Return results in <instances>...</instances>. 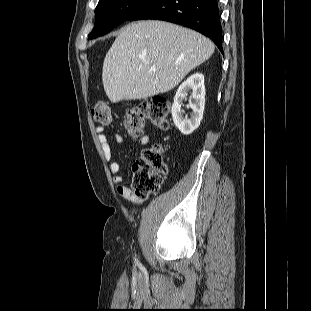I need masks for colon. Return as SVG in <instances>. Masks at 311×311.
I'll list each match as a JSON object with an SVG mask.
<instances>
[{
	"instance_id": "obj_1",
	"label": "colon",
	"mask_w": 311,
	"mask_h": 311,
	"mask_svg": "<svg viewBox=\"0 0 311 311\" xmlns=\"http://www.w3.org/2000/svg\"><path fill=\"white\" fill-rule=\"evenodd\" d=\"M169 101L162 96H154L139 102L129 108L124 115V127L134 137H141L147 122L167 130L169 123ZM92 117L102 126L112 122V111L106 101H98L92 108ZM168 174L167 166L163 159V149L159 144H154L143 150L141 158L133 167L132 190L136 195L158 191Z\"/></svg>"
}]
</instances>
